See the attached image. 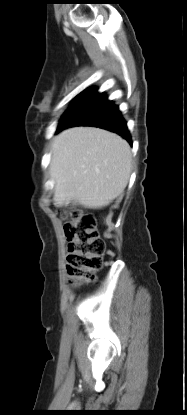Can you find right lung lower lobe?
Masks as SVG:
<instances>
[{
	"mask_svg": "<svg viewBox=\"0 0 187 415\" xmlns=\"http://www.w3.org/2000/svg\"><path fill=\"white\" fill-rule=\"evenodd\" d=\"M94 126L115 132L132 145L131 135L118 106L97 88L82 92L63 114L57 132L73 126Z\"/></svg>",
	"mask_w": 187,
	"mask_h": 415,
	"instance_id": "right-lung-lower-lobe-1",
	"label": "right lung lower lobe"
}]
</instances>
